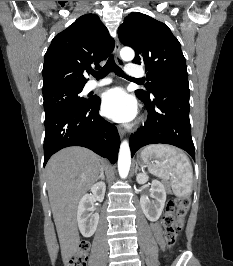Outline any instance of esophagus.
Masks as SVG:
<instances>
[{
	"label": "esophagus",
	"mask_w": 233,
	"mask_h": 266,
	"mask_svg": "<svg viewBox=\"0 0 233 266\" xmlns=\"http://www.w3.org/2000/svg\"><path fill=\"white\" fill-rule=\"evenodd\" d=\"M120 42H119V39L116 37L115 38V47H114V55H115V60H116V63L119 65V66H124V61L122 60V58L120 57ZM118 132H119V135L120 137H123L125 135V130L122 128V127H119L118 128Z\"/></svg>",
	"instance_id": "34e87169"
}]
</instances>
